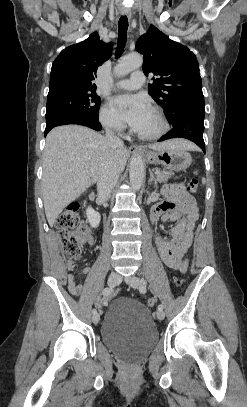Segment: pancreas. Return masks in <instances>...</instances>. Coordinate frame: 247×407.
<instances>
[{"label":"pancreas","instance_id":"1","mask_svg":"<svg viewBox=\"0 0 247 407\" xmlns=\"http://www.w3.org/2000/svg\"><path fill=\"white\" fill-rule=\"evenodd\" d=\"M172 175H174L173 172L167 171V170H162V171H160V173L157 175L156 180H157L158 182H160V183H164V182H167L168 179H169Z\"/></svg>","mask_w":247,"mask_h":407}]
</instances>
